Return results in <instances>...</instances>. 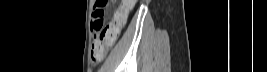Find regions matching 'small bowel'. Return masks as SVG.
<instances>
[{
	"label": "small bowel",
	"mask_w": 267,
	"mask_h": 72,
	"mask_svg": "<svg viewBox=\"0 0 267 72\" xmlns=\"http://www.w3.org/2000/svg\"><path fill=\"white\" fill-rule=\"evenodd\" d=\"M134 2L135 1L133 0L122 1L119 7L120 9H122V14L121 15L114 14L112 22L116 23L120 27V29L125 25L127 16L134 6Z\"/></svg>",
	"instance_id": "c3829d8e"
}]
</instances>
